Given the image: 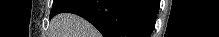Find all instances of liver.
Masks as SVG:
<instances>
[{
    "mask_svg": "<svg viewBox=\"0 0 219 37\" xmlns=\"http://www.w3.org/2000/svg\"><path fill=\"white\" fill-rule=\"evenodd\" d=\"M52 37H97V30L85 19L71 13L58 14L51 21Z\"/></svg>",
    "mask_w": 219,
    "mask_h": 37,
    "instance_id": "1",
    "label": "liver"
}]
</instances>
